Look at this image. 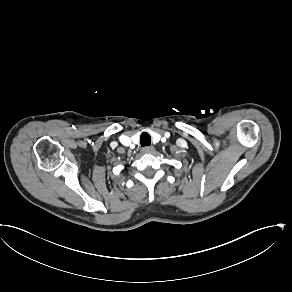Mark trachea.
<instances>
[{"label": "trachea", "mask_w": 292, "mask_h": 292, "mask_svg": "<svg viewBox=\"0 0 292 292\" xmlns=\"http://www.w3.org/2000/svg\"><path fill=\"white\" fill-rule=\"evenodd\" d=\"M140 143H141L142 147L150 146V144H151V136L146 132L142 133L141 136H140Z\"/></svg>", "instance_id": "trachea-1"}]
</instances>
